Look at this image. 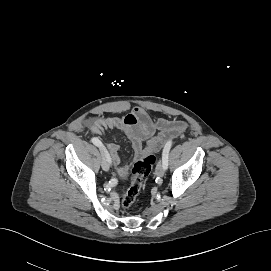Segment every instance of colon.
I'll use <instances>...</instances> for the list:
<instances>
[{
	"label": "colon",
	"instance_id": "5ec220e1",
	"mask_svg": "<svg viewBox=\"0 0 271 271\" xmlns=\"http://www.w3.org/2000/svg\"><path fill=\"white\" fill-rule=\"evenodd\" d=\"M155 161V156L151 153H147L139 158L134 164L131 184L122 198V206L124 208H130L136 201L144 180L150 174Z\"/></svg>",
	"mask_w": 271,
	"mask_h": 271
}]
</instances>
